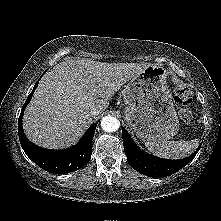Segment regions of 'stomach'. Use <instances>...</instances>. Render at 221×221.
Wrapping results in <instances>:
<instances>
[{
    "label": "stomach",
    "instance_id": "stomach-1",
    "mask_svg": "<svg viewBox=\"0 0 221 221\" xmlns=\"http://www.w3.org/2000/svg\"><path fill=\"white\" fill-rule=\"evenodd\" d=\"M124 117L136 136L145 142L172 139L179 131L174 99L167 85V71L149 65L123 90Z\"/></svg>",
    "mask_w": 221,
    "mask_h": 221
}]
</instances>
